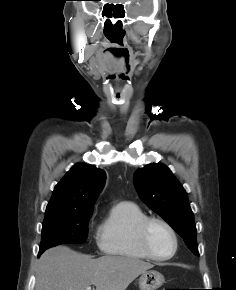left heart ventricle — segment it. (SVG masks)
I'll use <instances>...</instances> for the list:
<instances>
[{
    "instance_id": "b2bd125f",
    "label": "left heart ventricle",
    "mask_w": 236,
    "mask_h": 290,
    "mask_svg": "<svg viewBox=\"0 0 236 290\" xmlns=\"http://www.w3.org/2000/svg\"><path fill=\"white\" fill-rule=\"evenodd\" d=\"M149 243L155 254L169 255L174 248V242L168 230L160 224H153L149 231Z\"/></svg>"
}]
</instances>
